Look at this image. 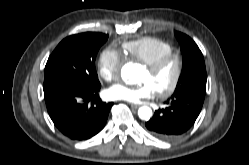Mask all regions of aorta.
<instances>
[{"mask_svg": "<svg viewBox=\"0 0 249 165\" xmlns=\"http://www.w3.org/2000/svg\"><path fill=\"white\" fill-rule=\"evenodd\" d=\"M137 68V65L132 63L125 64L121 69L122 79L127 83L135 84L137 82V78L135 76ZM138 116L142 120H149L152 116L151 108L147 106L140 107L138 110Z\"/></svg>", "mask_w": 249, "mask_h": 165, "instance_id": "obj_1", "label": "aorta"}]
</instances>
